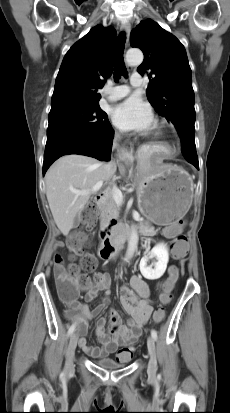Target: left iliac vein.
Masks as SVG:
<instances>
[{
  "mask_svg": "<svg viewBox=\"0 0 230 413\" xmlns=\"http://www.w3.org/2000/svg\"><path fill=\"white\" fill-rule=\"evenodd\" d=\"M148 352L150 360L148 363V374L154 376L157 370V361L155 356V339L152 336H149L147 339Z\"/></svg>",
  "mask_w": 230,
  "mask_h": 413,
  "instance_id": "obj_1",
  "label": "left iliac vein"
}]
</instances>
